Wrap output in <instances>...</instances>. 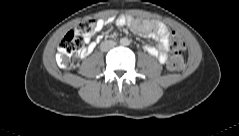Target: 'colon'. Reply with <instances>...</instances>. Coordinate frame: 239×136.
Wrapping results in <instances>:
<instances>
[{"label":"colon","instance_id":"1","mask_svg":"<svg viewBox=\"0 0 239 136\" xmlns=\"http://www.w3.org/2000/svg\"><path fill=\"white\" fill-rule=\"evenodd\" d=\"M97 27L96 20H86L81 22L75 31H70L64 36L57 53V62L61 68L70 69L73 67L74 61L82 51L84 37L92 35ZM170 46L173 54L167 63V67L171 71L181 70L184 66L185 41L178 33L172 32Z\"/></svg>","mask_w":239,"mask_h":136}]
</instances>
